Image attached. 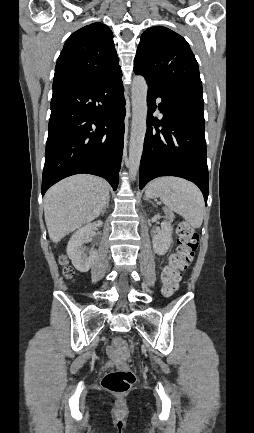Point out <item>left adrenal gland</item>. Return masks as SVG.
<instances>
[{"label":"left adrenal gland","mask_w":254,"mask_h":433,"mask_svg":"<svg viewBox=\"0 0 254 433\" xmlns=\"http://www.w3.org/2000/svg\"><path fill=\"white\" fill-rule=\"evenodd\" d=\"M144 200H148L149 201V198L147 197L146 194L144 195Z\"/></svg>","instance_id":"1"}]
</instances>
